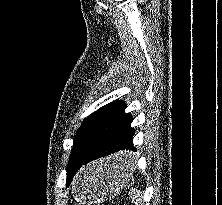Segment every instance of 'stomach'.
Segmentation results:
<instances>
[{
    "label": "stomach",
    "mask_w": 222,
    "mask_h": 205,
    "mask_svg": "<svg viewBox=\"0 0 222 205\" xmlns=\"http://www.w3.org/2000/svg\"><path fill=\"white\" fill-rule=\"evenodd\" d=\"M111 159L94 162L80 172L73 186L78 205H100L126 186L135 170L134 166L115 164Z\"/></svg>",
    "instance_id": "obj_1"
}]
</instances>
